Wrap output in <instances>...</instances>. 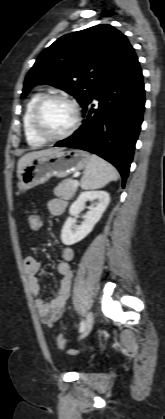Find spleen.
Returning <instances> with one entry per match:
<instances>
[{
  "instance_id": "spleen-1",
  "label": "spleen",
  "mask_w": 165,
  "mask_h": 419,
  "mask_svg": "<svg viewBox=\"0 0 165 419\" xmlns=\"http://www.w3.org/2000/svg\"><path fill=\"white\" fill-rule=\"evenodd\" d=\"M118 172L102 158L92 155L81 178L82 189H98L111 181L118 180Z\"/></svg>"
}]
</instances>
